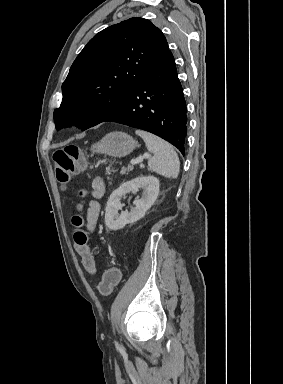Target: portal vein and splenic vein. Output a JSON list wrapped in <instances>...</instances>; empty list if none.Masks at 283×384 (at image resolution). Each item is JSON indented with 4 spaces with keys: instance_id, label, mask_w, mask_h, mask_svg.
<instances>
[{
    "instance_id": "portal-vein-and-splenic-vein-1",
    "label": "portal vein and splenic vein",
    "mask_w": 283,
    "mask_h": 384,
    "mask_svg": "<svg viewBox=\"0 0 283 384\" xmlns=\"http://www.w3.org/2000/svg\"><path fill=\"white\" fill-rule=\"evenodd\" d=\"M144 158H151V154H143L140 158H136V160H131L130 164L134 166V164H139V162H143Z\"/></svg>"
}]
</instances>
